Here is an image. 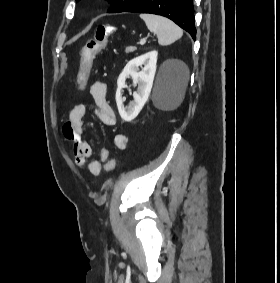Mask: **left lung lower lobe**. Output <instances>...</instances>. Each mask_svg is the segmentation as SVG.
Segmentation results:
<instances>
[{"instance_id":"left-lung-lower-lobe-1","label":"left lung lower lobe","mask_w":280,"mask_h":283,"mask_svg":"<svg viewBox=\"0 0 280 283\" xmlns=\"http://www.w3.org/2000/svg\"><path fill=\"white\" fill-rule=\"evenodd\" d=\"M126 12L151 13L165 16L196 39L193 0H139Z\"/></svg>"}]
</instances>
